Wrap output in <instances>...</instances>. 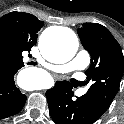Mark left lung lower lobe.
<instances>
[{
	"label": "left lung lower lobe",
	"mask_w": 124,
	"mask_h": 124,
	"mask_svg": "<svg viewBox=\"0 0 124 124\" xmlns=\"http://www.w3.org/2000/svg\"><path fill=\"white\" fill-rule=\"evenodd\" d=\"M72 97V86L68 81L57 82L47 90L49 114L56 124H93L98 120L83 96Z\"/></svg>",
	"instance_id": "obj_1"
}]
</instances>
